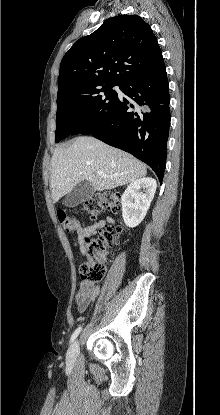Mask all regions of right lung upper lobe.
<instances>
[{
	"instance_id": "cb5924a9",
	"label": "right lung upper lobe",
	"mask_w": 220,
	"mask_h": 415,
	"mask_svg": "<svg viewBox=\"0 0 220 415\" xmlns=\"http://www.w3.org/2000/svg\"><path fill=\"white\" fill-rule=\"evenodd\" d=\"M164 63L151 27L138 15L109 18L63 57L58 94L79 84L124 81Z\"/></svg>"
}]
</instances>
